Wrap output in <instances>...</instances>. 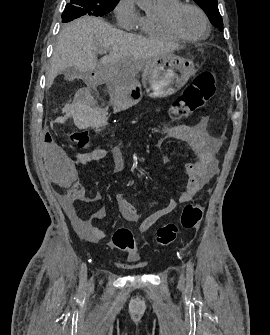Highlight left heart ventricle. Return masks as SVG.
<instances>
[{"label":"left heart ventricle","instance_id":"left-heart-ventricle-1","mask_svg":"<svg viewBox=\"0 0 270 335\" xmlns=\"http://www.w3.org/2000/svg\"><path fill=\"white\" fill-rule=\"evenodd\" d=\"M177 24L180 30L188 36L201 35L205 30L201 16L191 7H185L180 11Z\"/></svg>","mask_w":270,"mask_h":335}]
</instances>
